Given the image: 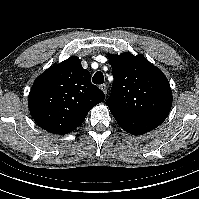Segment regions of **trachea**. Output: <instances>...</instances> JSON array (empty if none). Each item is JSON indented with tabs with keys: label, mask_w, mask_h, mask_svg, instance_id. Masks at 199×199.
Returning a JSON list of instances; mask_svg holds the SVG:
<instances>
[{
	"label": "trachea",
	"mask_w": 199,
	"mask_h": 199,
	"mask_svg": "<svg viewBox=\"0 0 199 199\" xmlns=\"http://www.w3.org/2000/svg\"><path fill=\"white\" fill-rule=\"evenodd\" d=\"M92 82L94 84H102L104 82V75L102 72L98 71L94 74L93 78H92Z\"/></svg>",
	"instance_id": "3493384b"
}]
</instances>
